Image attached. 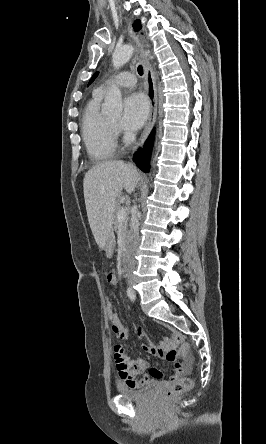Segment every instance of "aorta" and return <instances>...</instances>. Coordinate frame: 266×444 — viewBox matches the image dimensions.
I'll return each instance as SVG.
<instances>
[{
	"label": "aorta",
	"instance_id": "762f6f07",
	"mask_svg": "<svg viewBox=\"0 0 266 444\" xmlns=\"http://www.w3.org/2000/svg\"><path fill=\"white\" fill-rule=\"evenodd\" d=\"M134 53V47L131 45H124L117 48L112 55V64L115 69L123 66L129 61ZM149 56V52L145 53ZM152 58V56H150ZM103 113L112 116H120L123 111L122 95L117 86H111L102 106Z\"/></svg>",
	"mask_w": 266,
	"mask_h": 444
}]
</instances>
